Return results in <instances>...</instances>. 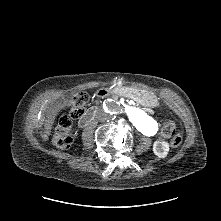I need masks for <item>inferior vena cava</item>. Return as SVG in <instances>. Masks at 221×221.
Returning a JSON list of instances; mask_svg holds the SVG:
<instances>
[{"mask_svg": "<svg viewBox=\"0 0 221 221\" xmlns=\"http://www.w3.org/2000/svg\"><path fill=\"white\" fill-rule=\"evenodd\" d=\"M109 118V116L107 114H104V113H100L98 114L97 116V119L100 120V121H105Z\"/></svg>", "mask_w": 221, "mask_h": 221, "instance_id": "602c4592", "label": "inferior vena cava"}]
</instances>
